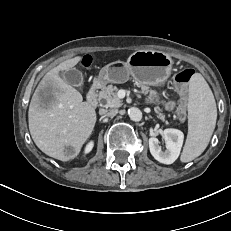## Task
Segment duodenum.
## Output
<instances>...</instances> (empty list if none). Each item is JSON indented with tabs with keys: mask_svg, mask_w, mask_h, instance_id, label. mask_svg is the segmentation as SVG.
I'll list each match as a JSON object with an SVG mask.
<instances>
[{
	"mask_svg": "<svg viewBox=\"0 0 231 231\" xmlns=\"http://www.w3.org/2000/svg\"><path fill=\"white\" fill-rule=\"evenodd\" d=\"M102 86V82L100 80H96L91 85L89 92L87 94V103L91 107H96L98 103V90Z\"/></svg>",
	"mask_w": 231,
	"mask_h": 231,
	"instance_id": "duodenum-1",
	"label": "duodenum"
}]
</instances>
